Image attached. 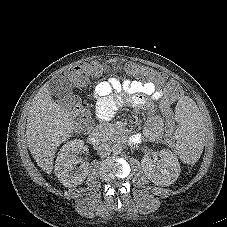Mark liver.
I'll return each instance as SVG.
<instances>
[{"mask_svg":"<svg viewBox=\"0 0 227 227\" xmlns=\"http://www.w3.org/2000/svg\"><path fill=\"white\" fill-rule=\"evenodd\" d=\"M26 126L33 158L43 171L51 174L55 150L71 136L74 125L69 113L52 99L48 84H44L34 97Z\"/></svg>","mask_w":227,"mask_h":227,"instance_id":"obj_1","label":"liver"}]
</instances>
